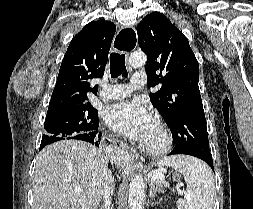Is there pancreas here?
Segmentation results:
<instances>
[{
    "instance_id": "pancreas-1",
    "label": "pancreas",
    "mask_w": 253,
    "mask_h": 209,
    "mask_svg": "<svg viewBox=\"0 0 253 209\" xmlns=\"http://www.w3.org/2000/svg\"><path fill=\"white\" fill-rule=\"evenodd\" d=\"M164 187H169V183L165 182V181H159L156 183V189L158 192L164 193Z\"/></svg>"
}]
</instances>
